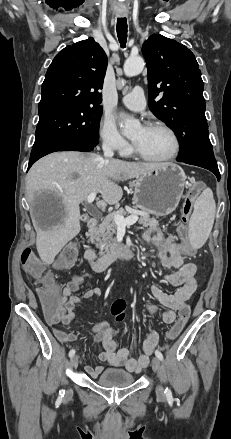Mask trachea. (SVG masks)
I'll return each instance as SVG.
<instances>
[{
  "mask_svg": "<svg viewBox=\"0 0 231 439\" xmlns=\"http://www.w3.org/2000/svg\"><path fill=\"white\" fill-rule=\"evenodd\" d=\"M117 36L122 48H125L127 42V19H117Z\"/></svg>",
  "mask_w": 231,
  "mask_h": 439,
  "instance_id": "1",
  "label": "trachea"
}]
</instances>
